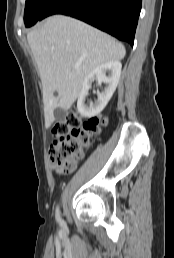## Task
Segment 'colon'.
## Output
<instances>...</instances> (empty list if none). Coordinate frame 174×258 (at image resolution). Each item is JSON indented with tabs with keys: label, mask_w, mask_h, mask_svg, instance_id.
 Listing matches in <instances>:
<instances>
[{
	"label": "colon",
	"mask_w": 174,
	"mask_h": 258,
	"mask_svg": "<svg viewBox=\"0 0 174 258\" xmlns=\"http://www.w3.org/2000/svg\"><path fill=\"white\" fill-rule=\"evenodd\" d=\"M106 122V118L101 117L82 122L77 110H70L62 120L55 122L51 128L52 145L49 149L53 168L61 174L72 172L89 146L91 137Z\"/></svg>",
	"instance_id": "obj_1"
}]
</instances>
